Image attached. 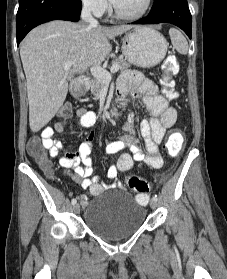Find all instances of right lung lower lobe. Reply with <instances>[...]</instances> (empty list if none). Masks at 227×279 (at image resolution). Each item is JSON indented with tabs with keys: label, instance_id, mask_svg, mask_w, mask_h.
I'll use <instances>...</instances> for the list:
<instances>
[{
	"label": "right lung lower lobe",
	"instance_id": "obj_1",
	"mask_svg": "<svg viewBox=\"0 0 227 279\" xmlns=\"http://www.w3.org/2000/svg\"><path fill=\"white\" fill-rule=\"evenodd\" d=\"M81 7V0H19L17 45L31 29L42 23L57 19L77 22Z\"/></svg>",
	"mask_w": 227,
	"mask_h": 279
}]
</instances>
